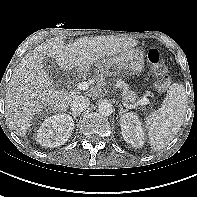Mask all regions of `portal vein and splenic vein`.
Instances as JSON below:
<instances>
[{
	"label": "portal vein and splenic vein",
	"mask_w": 197,
	"mask_h": 197,
	"mask_svg": "<svg viewBox=\"0 0 197 197\" xmlns=\"http://www.w3.org/2000/svg\"><path fill=\"white\" fill-rule=\"evenodd\" d=\"M77 88L79 90H87L89 88V83L86 81L80 82L78 83ZM149 103H150L149 99L145 97L138 101V105H148Z\"/></svg>",
	"instance_id": "18ae733b"
}]
</instances>
